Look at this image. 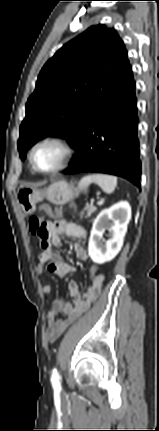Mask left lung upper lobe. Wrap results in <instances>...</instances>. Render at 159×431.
<instances>
[{
  "mask_svg": "<svg viewBox=\"0 0 159 431\" xmlns=\"http://www.w3.org/2000/svg\"><path fill=\"white\" fill-rule=\"evenodd\" d=\"M130 68L123 41L104 25L91 26L61 47L42 68L27 101L18 140L21 159L46 136H62L75 148Z\"/></svg>",
  "mask_w": 159,
  "mask_h": 431,
  "instance_id": "1",
  "label": "left lung upper lobe"
}]
</instances>
